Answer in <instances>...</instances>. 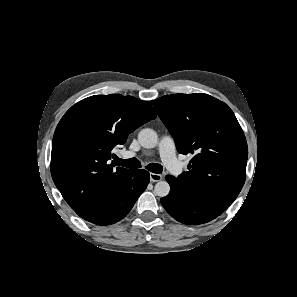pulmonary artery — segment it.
<instances>
[{"label": "pulmonary artery", "mask_w": 297, "mask_h": 297, "mask_svg": "<svg viewBox=\"0 0 297 297\" xmlns=\"http://www.w3.org/2000/svg\"><path fill=\"white\" fill-rule=\"evenodd\" d=\"M159 152L162 161L166 167L175 175L182 172V166L175 155V143L172 137L165 135L159 142ZM135 156L132 153H127V157Z\"/></svg>", "instance_id": "obj_1"}]
</instances>
